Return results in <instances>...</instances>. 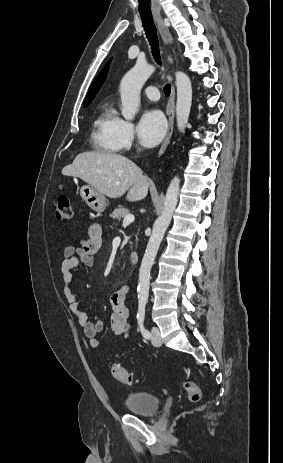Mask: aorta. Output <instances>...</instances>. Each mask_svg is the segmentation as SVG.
Here are the masks:
<instances>
[{
	"label": "aorta",
	"mask_w": 283,
	"mask_h": 463,
	"mask_svg": "<svg viewBox=\"0 0 283 463\" xmlns=\"http://www.w3.org/2000/svg\"><path fill=\"white\" fill-rule=\"evenodd\" d=\"M155 71L153 65L138 61L122 78L120 94L122 101V116L130 121L134 119L140 107V92L147 79ZM177 88L176 119L180 132H184L188 123L192 104V85L190 78L181 71L175 73ZM180 179L175 176L167 189L164 207L161 215L153 224L152 234L142 259L139 270L138 297L146 300L149 295L150 272L154 264L159 246L171 222L172 215L178 203Z\"/></svg>",
	"instance_id": "aorta-1"
}]
</instances>
